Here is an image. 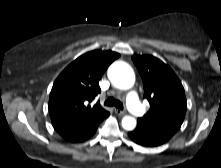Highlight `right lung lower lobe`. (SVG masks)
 <instances>
[{
  "label": "right lung lower lobe",
  "instance_id": "98d812e1",
  "mask_svg": "<svg viewBox=\"0 0 221 168\" xmlns=\"http://www.w3.org/2000/svg\"><path fill=\"white\" fill-rule=\"evenodd\" d=\"M108 115H109V113L107 114V116ZM102 120H100L99 122L92 124V125L82 126L76 130H73L70 132H63V133H59V134L63 138H65L66 140H68L70 142H80V141L90 138L96 132L97 126L99 125V123Z\"/></svg>",
  "mask_w": 221,
  "mask_h": 168
}]
</instances>
